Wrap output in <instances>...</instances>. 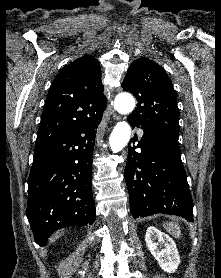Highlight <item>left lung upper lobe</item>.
<instances>
[{"label":"left lung upper lobe","mask_w":221,"mask_h":278,"mask_svg":"<svg viewBox=\"0 0 221 278\" xmlns=\"http://www.w3.org/2000/svg\"><path fill=\"white\" fill-rule=\"evenodd\" d=\"M122 88L131 92L138 104L129 117L149 131L179 132V111L172 82L166 72L149 58L135 60Z\"/></svg>","instance_id":"obj_1"}]
</instances>
